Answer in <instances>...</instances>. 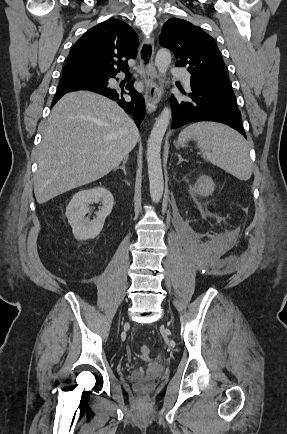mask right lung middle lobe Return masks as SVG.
I'll list each match as a JSON object with an SVG mask.
<instances>
[{"label":"right lung middle lobe","instance_id":"dd1d6c3e","mask_svg":"<svg viewBox=\"0 0 287 434\" xmlns=\"http://www.w3.org/2000/svg\"><path fill=\"white\" fill-rule=\"evenodd\" d=\"M63 79L71 81H84L86 83H96L105 84L108 82L109 77L89 74V73H75V74H65L62 76Z\"/></svg>","mask_w":287,"mask_h":434}]
</instances>
